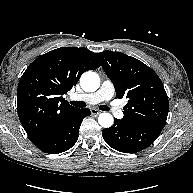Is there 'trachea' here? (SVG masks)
Returning <instances> with one entry per match:
<instances>
[{
    "label": "trachea",
    "mask_w": 193,
    "mask_h": 193,
    "mask_svg": "<svg viewBox=\"0 0 193 193\" xmlns=\"http://www.w3.org/2000/svg\"><path fill=\"white\" fill-rule=\"evenodd\" d=\"M71 104L73 106L80 107V108L86 107V103L82 102V101H73V102H71ZM99 108L102 111H108L109 110V107L106 105H101Z\"/></svg>",
    "instance_id": "1"
}]
</instances>
